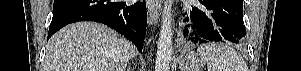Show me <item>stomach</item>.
Wrapping results in <instances>:
<instances>
[{
	"label": "stomach",
	"mask_w": 301,
	"mask_h": 71,
	"mask_svg": "<svg viewBox=\"0 0 301 71\" xmlns=\"http://www.w3.org/2000/svg\"><path fill=\"white\" fill-rule=\"evenodd\" d=\"M204 64L205 60L198 53L187 52L181 56L180 69L181 71H200Z\"/></svg>",
	"instance_id": "stomach-1"
}]
</instances>
